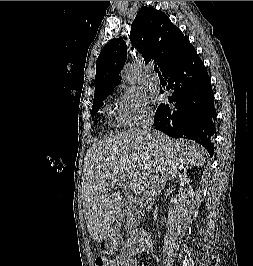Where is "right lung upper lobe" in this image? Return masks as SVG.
Returning <instances> with one entry per match:
<instances>
[{"label":"right lung upper lobe","instance_id":"obj_1","mask_svg":"<svg viewBox=\"0 0 253 266\" xmlns=\"http://www.w3.org/2000/svg\"><path fill=\"white\" fill-rule=\"evenodd\" d=\"M132 46L142 54L145 62L154 58L160 70L182 59L192 48L187 36L170 21L162 11L143 7L131 25ZM123 39H112L102 49L96 62L94 100L111 90L120 82V69L127 58Z\"/></svg>","mask_w":253,"mask_h":266}]
</instances>
